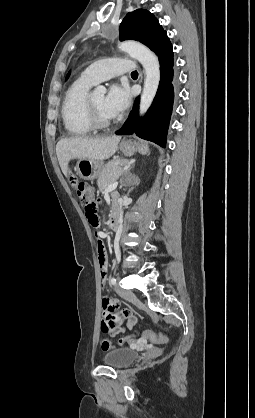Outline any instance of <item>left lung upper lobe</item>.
<instances>
[{
    "mask_svg": "<svg viewBox=\"0 0 255 418\" xmlns=\"http://www.w3.org/2000/svg\"><path fill=\"white\" fill-rule=\"evenodd\" d=\"M168 39L157 18L145 9L128 13L120 25L121 41H140L155 53Z\"/></svg>",
    "mask_w": 255,
    "mask_h": 418,
    "instance_id": "5c2ea615",
    "label": "left lung upper lobe"
}]
</instances>
